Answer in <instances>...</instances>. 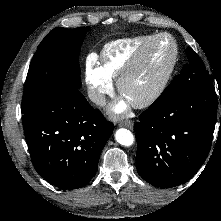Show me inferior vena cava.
<instances>
[{"label": "inferior vena cava", "instance_id": "inferior-vena-cava-1", "mask_svg": "<svg viewBox=\"0 0 221 221\" xmlns=\"http://www.w3.org/2000/svg\"><path fill=\"white\" fill-rule=\"evenodd\" d=\"M88 97L93 103L97 105L104 106L106 104L105 95L98 93L97 91L90 90L88 92Z\"/></svg>", "mask_w": 221, "mask_h": 221}]
</instances>
